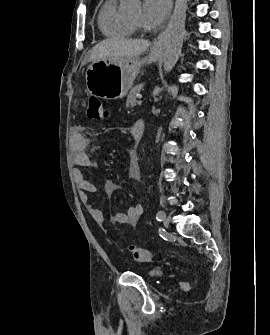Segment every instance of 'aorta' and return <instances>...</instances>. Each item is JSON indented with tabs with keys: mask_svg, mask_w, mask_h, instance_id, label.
<instances>
[{
	"mask_svg": "<svg viewBox=\"0 0 270 335\" xmlns=\"http://www.w3.org/2000/svg\"><path fill=\"white\" fill-rule=\"evenodd\" d=\"M187 2L188 0H176L169 28L165 34L163 66L166 74L171 72L180 56L185 34Z\"/></svg>",
	"mask_w": 270,
	"mask_h": 335,
	"instance_id": "1",
	"label": "aorta"
}]
</instances>
